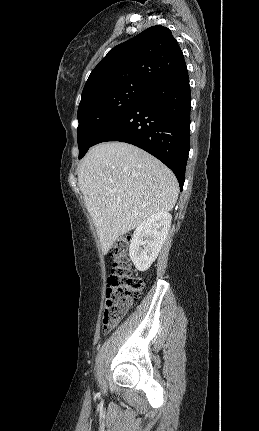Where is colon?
I'll list each match as a JSON object with an SVG mask.
<instances>
[{
  "mask_svg": "<svg viewBox=\"0 0 259 431\" xmlns=\"http://www.w3.org/2000/svg\"><path fill=\"white\" fill-rule=\"evenodd\" d=\"M130 237L119 238L111 247L113 258L111 273L106 288V301L102 317V327L110 331L137 301L143 290V280L134 275L128 259Z\"/></svg>",
  "mask_w": 259,
  "mask_h": 431,
  "instance_id": "obj_1",
  "label": "colon"
}]
</instances>
